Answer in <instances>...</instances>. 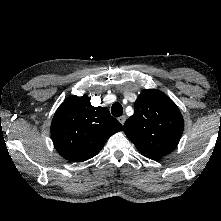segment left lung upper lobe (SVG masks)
I'll list each match as a JSON object with an SVG mask.
<instances>
[{"instance_id":"left-lung-upper-lobe-1","label":"left lung upper lobe","mask_w":221,"mask_h":221,"mask_svg":"<svg viewBox=\"0 0 221 221\" xmlns=\"http://www.w3.org/2000/svg\"><path fill=\"white\" fill-rule=\"evenodd\" d=\"M184 127L175 103L157 89L143 91L134 103V114L124 124L126 136L139 152L156 160L177 146Z\"/></svg>"}]
</instances>
